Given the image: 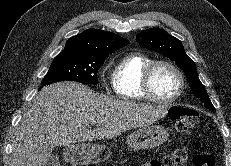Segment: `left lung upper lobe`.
<instances>
[{
  "label": "left lung upper lobe",
  "instance_id": "1",
  "mask_svg": "<svg viewBox=\"0 0 231 166\" xmlns=\"http://www.w3.org/2000/svg\"><path fill=\"white\" fill-rule=\"evenodd\" d=\"M136 41L149 50L156 51L175 61L187 77L192 93L200 98L205 108L215 110L204 85L198 78L195 62L185 53L182 43L160 28H150L137 34Z\"/></svg>",
  "mask_w": 231,
  "mask_h": 166
}]
</instances>
